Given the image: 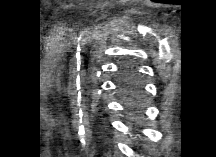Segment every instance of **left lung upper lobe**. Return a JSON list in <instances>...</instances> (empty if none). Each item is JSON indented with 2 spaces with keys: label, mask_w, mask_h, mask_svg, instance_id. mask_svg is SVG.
Listing matches in <instances>:
<instances>
[{
  "label": "left lung upper lobe",
  "mask_w": 216,
  "mask_h": 157,
  "mask_svg": "<svg viewBox=\"0 0 216 157\" xmlns=\"http://www.w3.org/2000/svg\"><path fill=\"white\" fill-rule=\"evenodd\" d=\"M124 68L132 69V75H124L121 81L125 82L130 88L135 89V95L133 97V101H137L141 96V88L140 84L137 82V79L134 76V70L131 66H125Z\"/></svg>",
  "instance_id": "left-lung-upper-lobe-1"
}]
</instances>
